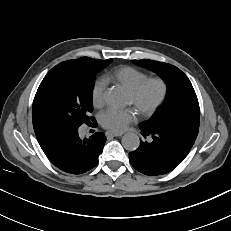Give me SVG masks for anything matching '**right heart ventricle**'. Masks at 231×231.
<instances>
[{
    "mask_svg": "<svg viewBox=\"0 0 231 231\" xmlns=\"http://www.w3.org/2000/svg\"><path fill=\"white\" fill-rule=\"evenodd\" d=\"M107 78L113 80L117 84L122 85L125 89L130 91L143 80L148 78V74L135 67L124 66L115 70L113 73L107 76Z\"/></svg>",
    "mask_w": 231,
    "mask_h": 231,
    "instance_id": "e07e8e85",
    "label": "right heart ventricle"
}]
</instances>
